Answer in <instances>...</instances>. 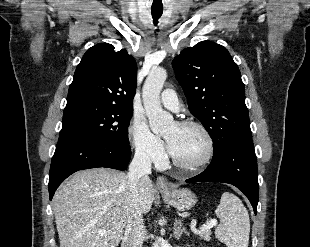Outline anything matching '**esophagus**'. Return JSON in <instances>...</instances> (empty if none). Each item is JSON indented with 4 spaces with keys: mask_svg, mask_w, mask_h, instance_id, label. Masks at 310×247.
Listing matches in <instances>:
<instances>
[{
    "mask_svg": "<svg viewBox=\"0 0 310 247\" xmlns=\"http://www.w3.org/2000/svg\"><path fill=\"white\" fill-rule=\"evenodd\" d=\"M157 187L161 190V191H166L169 188V183L167 181L166 178H164L163 176H159L157 178Z\"/></svg>",
    "mask_w": 310,
    "mask_h": 247,
    "instance_id": "34e87169",
    "label": "esophagus"
}]
</instances>
